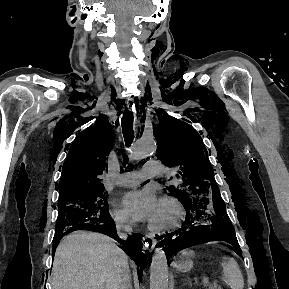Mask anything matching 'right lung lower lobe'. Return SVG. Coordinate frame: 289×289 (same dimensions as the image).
<instances>
[{"mask_svg":"<svg viewBox=\"0 0 289 289\" xmlns=\"http://www.w3.org/2000/svg\"><path fill=\"white\" fill-rule=\"evenodd\" d=\"M76 230H89V231L100 232L102 234L108 235L124 246L125 248L124 251L140 267V272L142 268H144L145 266H148V263H147L148 260L146 261V258L144 257L145 255L142 253V248H143V245L141 242L142 236L140 234L133 233L132 235L129 236V240H127V242L122 240L121 238H119L117 231H116L115 223L109 214L103 217H99V218H87V219L81 220L78 224L72 226L66 232V234L71 233ZM63 236L54 237L53 252H52L53 255L55 253V249L59 240Z\"/></svg>","mask_w":289,"mask_h":289,"instance_id":"right-lung-lower-lobe-1","label":"right lung lower lobe"}]
</instances>
